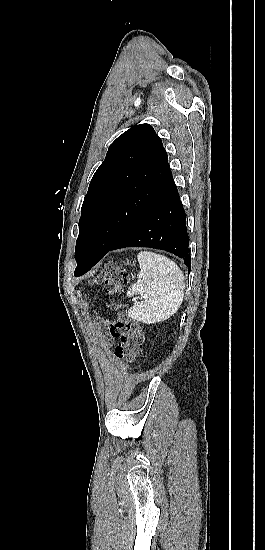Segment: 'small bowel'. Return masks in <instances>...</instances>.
Segmentation results:
<instances>
[{
	"instance_id": "c3829d8e",
	"label": "small bowel",
	"mask_w": 265,
	"mask_h": 550,
	"mask_svg": "<svg viewBox=\"0 0 265 550\" xmlns=\"http://www.w3.org/2000/svg\"><path fill=\"white\" fill-rule=\"evenodd\" d=\"M114 343V337L112 335H107L104 337L103 344L104 347L110 348L113 346Z\"/></svg>"
}]
</instances>
